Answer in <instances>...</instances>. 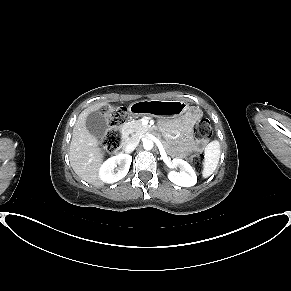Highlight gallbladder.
Instances as JSON below:
<instances>
[{
    "label": "gallbladder",
    "mask_w": 291,
    "mask_h": 291,
    "mask_svg": "<svg viewBox=\"0 0 291 291\" xmlns=\"http://www.w3.org/2000/svg\"><path fill=\"white\" fill-rule=\"evenodd\" d=\"M86 128L96 138H103L108 128L104 116L100 112H91L86 117Z\"/></svg>",
    "instance_id": "1"
}]
</instances>
